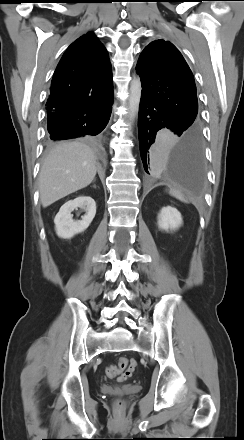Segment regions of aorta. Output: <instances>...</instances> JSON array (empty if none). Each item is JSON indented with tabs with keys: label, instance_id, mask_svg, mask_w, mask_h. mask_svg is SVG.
Wrapping results in <instances>:
<instances>
[{
	"label": "aorta",
	"instance_id": "aorta-1",
	"mask_svg": "<svg viewBox=\"0 0 244 440\" xmlns=\"http://www.w3.org/2000/svg\"><path fill=\"white\" fill-rule=\"evenodd\" d=\"M141 98V83L138 78L133 79L130 84V96L128 100V118L130 122H133L139 109V103Z\"/></svg>",
	"mask_w": 244,
	"mask_h": 440
}]
</instances>
